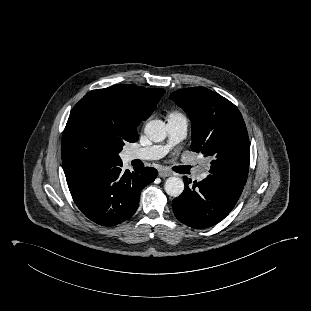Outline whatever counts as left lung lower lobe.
Instances as JSON below:
<instances>
[{
  "mask_svg": "<svg viewBox=\"0 0 311 311\" xmlns=\"http://www.w3.org/2000/svg\"><path fill=\"white\" fill-rule=\"evenodd\" d=\"M184 177L185 189L173 200L176 218L196 229L211 227L224 219L237 203L243 187L210 174L200 182Z\"/></svg>",
  "mask_w": 311,
  "mask_h": 311,
  "instance_id": "1",
  "label": "left lung lower lobe"
}]
</instances>
